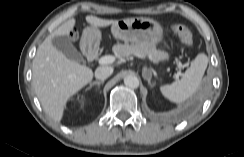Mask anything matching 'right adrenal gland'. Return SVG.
<instances>
[{
  "instance_id": "2a0ac1e0",
  "label": "right adrenal gland",
  "mask_w": 244,
  "mask_h": 157,
  "mask_svg": "<svg viewBox=\"0 0 244 157\" xmlns=\"http://www.w3.org/2000/svg\"><path fill=\"white\" fill-rule=\"evenodd\" d=\"M104 83V80H100V81H95L93 83L90 84V88H92L94 85H97L98 88L100 87L101 84Z\"/></svg>"
}]
</instances>
